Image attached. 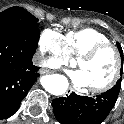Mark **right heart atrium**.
Returning a JSON list of instances; mask_svg holds the SVG:
<instances>
[{"mask_svg": "<svg viewBox=\"0 0 124 124\" xmlns=\"http://www.w3.org/2000/svg\"><path fill=\"white\" fill-rule=\"evenodd\" d=\"M39 52L45 57L43 63L52 68L67 66L69 57L64 48L63 37L55 30H43L37 40Z\"/></svg>", "mask_w": 124, "mask_h": 124, "instance_id": "obj_1", "label": "right heart atrium"}]
</instances>
